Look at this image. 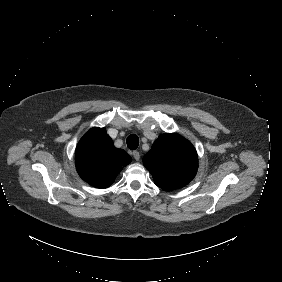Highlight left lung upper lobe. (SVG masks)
<instances>
[{"label":"left lung upper lobe","mask_w":282,"mask_h":282,"mask_svg":"<svg viewBox=\"0 0 282 282\" xmlns=\"http://www.w3.org/2000/svg\"><path fill=\"white\" fill-rule=\"evenodd\" d=\"M157 186L172 191L187 185L198 169L197 152L193 145L179 134H162L143 157Z\"/></svg>","instance_id":"5c2ea615"}]
</instances>
